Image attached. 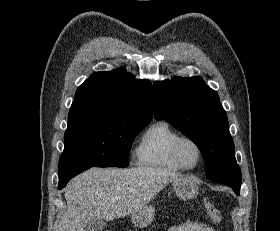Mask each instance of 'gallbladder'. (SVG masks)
Segmentation results:
<instances>
[{
	"label": "gallbladder",
	"mask_w": 280,
	"mask_h": 231,
	"mask_svg": "<svg viewBox=\"0 0 280 231\" xmlns=\"http://www.w3.org/2000/svg\"><path fill=\"white\" fill-rule=\"evenodd\" d=\"M104 225L105 221H103V219H95V217H92L86 227H84V231H101Z\"/></svg>",
	"instance_id": "1"
}]
</instances>
